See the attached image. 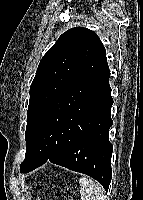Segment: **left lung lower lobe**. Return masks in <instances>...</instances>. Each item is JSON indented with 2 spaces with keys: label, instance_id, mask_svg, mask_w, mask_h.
<instances>
[{
  "label": "left lung lower lobe",
  "instance_id": "0a47b994",
  "mask_svg": "<svg viewBox=\"0 0 143 200\" xmlns=\"http://www.w3.org/2000/svg\"><path fill=\"white\" fill-rule=\"evenodd\" d=\"M109 76L103 49L39 115L33 128L32 155L21 173L50 161L87 174L108 190L113 151Z\"/></svg>",
  "mask_w": 143,
  "mask_h": 200
}]
</instances>
